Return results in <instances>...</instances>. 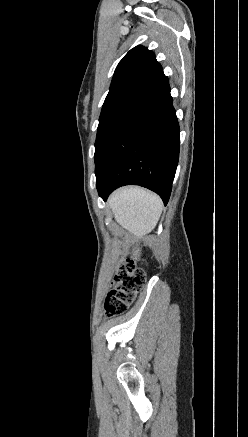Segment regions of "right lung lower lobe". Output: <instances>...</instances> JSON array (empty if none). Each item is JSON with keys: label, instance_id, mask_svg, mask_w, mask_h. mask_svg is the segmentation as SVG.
I'll return each mask as SVG.
<instances>
[{"label": "right lung lower lobe", "instance_id": "right-lung-lower-lobe-1", "mask_svg": "<svg viewBox=\"0 0 248 437\" xmlns=\"http://www.w3.org/2000/svg\"><path fill=\"white\" fill-rule=\"evenodd\" d=\"M179 133L162 72L137 96L96 162L99 196L106 201L114 189L134 184L156 192L166 205L179 159Z\"/></svg>", "mask_w": 248, "mask_h": 437}]
</instances>
